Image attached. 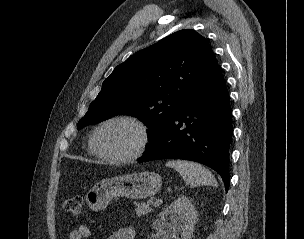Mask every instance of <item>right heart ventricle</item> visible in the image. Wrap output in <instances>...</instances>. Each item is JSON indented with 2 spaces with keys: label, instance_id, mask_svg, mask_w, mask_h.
<instances>
[{
  "label": "right heart ventricle",
  "instance_id": "right-heart-ventricle-1",
  "mask_svg": "<svg viewBox=\"0 0 304 239\" xmlns=\"http://www.w3.org/2000/svg\"><path fill=\"white\" fill-rule=\"evenodd\" d=\"M89 150H90V153L93 154V155H96L93 151V149L91 148V145H89Z\"/></svg>",
  "mask_w": 304,
  "mask_h": 239
}]
</instances>
